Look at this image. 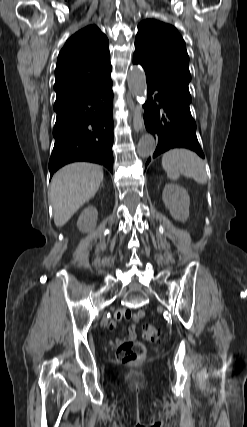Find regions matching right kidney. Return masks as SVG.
Listing matches in <instances>:
<instances>
[{"label": "right kidney", "mask_w": 247, "mask_h": 427, "mask_svg": "<svg viewBox=\"0 0 247 427\" xmlns=\"http://www.w3.org/2000/svg\"><path fill=\"white\" fill-rule=\"evenodd\" d=\"M98 212L94 206H88L80 214L77 227L81 232H90L96 227Z\"/></svg>", "instance_id": "1"}]
</instances>
